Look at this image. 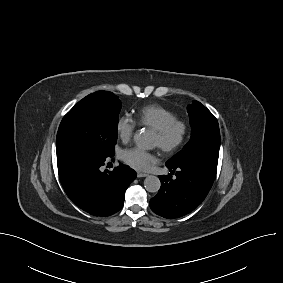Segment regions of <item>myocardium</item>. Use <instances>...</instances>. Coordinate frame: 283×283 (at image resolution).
<instances>
[{
    "instance_id": "obj_1",
    "label": "myocardium",
    "mask_w": 283,
    "mask_h": 283,
    "mask_svg": "<svg viewBox=\"0 0 283 283\" xmlns=\"http://www.w3.org/2000/svg\"><path fill=\"white\" fill-rule=\"evenodd\" d=\"M155 133L161 140L159 148L165 153H173L184 144L188 135V124L183 119L175 118L155 130Z\"/></svg>"
}]
</instances>
